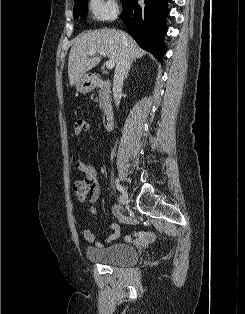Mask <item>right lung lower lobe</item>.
Returning a JSON list of instances; mask_svg holds the SVG:
<instances>
[{"mask_svg":"<svg viewBox=\"0 0 245 314\" xmlns=\"http://www.w3.org/2000/svg\"><path fill=\"white\" fill-rule=\"evenodd\" d=\"M168 0H145L139 5L138 0H128L123 5L120 16L129 34L144 49L162 60L166 52L163 35L167 31L165 17L168 14Z\"/></svg>","mask_w":245,"mask_h":314,"instance_id":"98d812e1","label":"right lung lower lobe"}]
</instances>
